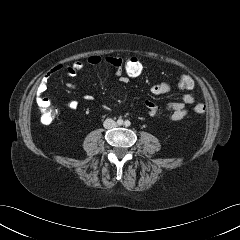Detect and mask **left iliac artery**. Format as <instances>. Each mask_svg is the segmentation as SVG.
<instances>
[{"label": "left iliac artery", "mask_w": 240, "mask_h": 240, "mask_svg": "<svg viewBox=\"0 0 240 240\" xmlns=\"http://www.w3.org/2000/svg\"><path fill=\"white\" fill-rule=\"evenodd\" d=\"M124 124H125V126H127V127L131 125V123H130L129 120H126Z\"/></svg>", "instance_id": "44dca946"}]
</instances>
